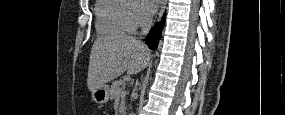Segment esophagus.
Instances as JSON below:
<instances>
[{
	"instance_id": "34e87169",
	"label": "esophagus",
	"mask_w": 285,
	"mask_h": 115,
	"mask_svg": "<svg viewBox=\"0 0 285 115\" xmlns=\"http://www.w3.org/2000/svg\"><path fill=\"white\" fill-rule=\"evenodd\" d=\"M166 4H167V0H163L162 3H161L160 12H159V17H158L157 21L160 20L162 14H163V12H164V9H165V7H166Z\"/></svg>"
}]
</instances>
